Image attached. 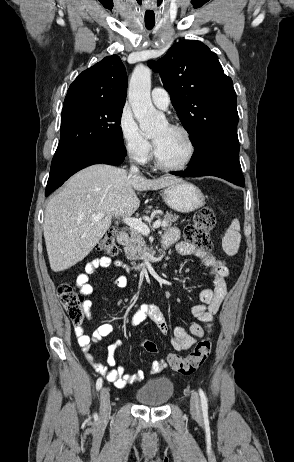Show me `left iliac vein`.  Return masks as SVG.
I'll return each instance as SVG.
<instances>
[{"instance_id":"4c4485c4","label":"left iliac vein","mask_w":294,"mask_h":462,"mask_svg":"<svg viewBox=\"0 0 294 462\" xmlns=\"http://www.w3.org/2000/svg\"><path fill=\"white\" fill-rule=\"evenodd\" d=\"M190 408L191 411L194 415H200L201 414V405H200V400L199 396L196 392H193L191 395V400H190Z\"/></svg>"}]
</instances>
